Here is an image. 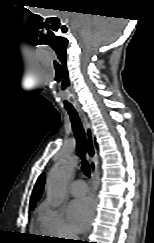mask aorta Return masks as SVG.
Listing matches in <instances>:
<instances>
[{"label": "aorta", "instance_id": "1", "mask_svg": "<svg viewBox=\"0 0 154 243\" xmlns=\"http://www.w3.org/2000/svg\"><path fill=\"white\" fill-rule=\"evenodd\" d=\"M76 168V160L71 155L64 156L50 171L47 178V197L54 207L62 204L65 186Z\"/></svg>", "mask_w": 154, "mask_h": 243}]
</instances>
